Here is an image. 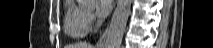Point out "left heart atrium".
Returning <instances> with one entry per match:
<instances>
[{"instance_id":"left-heart-atrium-1","label":"left heart atrium","mask_w":213,"mask_h":48,"mask_svg":"<svg viewBox=\"0 0 213 48\" xmlns=\"http://www.w3.org/2000/svg\"><path fill=\"white\" fill-rule=\"evenodd\" d=\"M112 0H99L97 1L96 15L98 17H105L112 9Z\"/></svg>"}]
</instances>
